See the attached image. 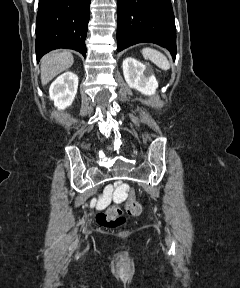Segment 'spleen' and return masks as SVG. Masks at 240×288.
Masks as SVG:
<instances>
[{"label":"spleen","instance_id":"1","mask_svg":"<svg viewBox=\"0 0 240 288\" xmlns=\"http://www.w3.org/2000/svg\"><path fill=\"white\" fill-rule=\"evenodd\" d=\"M141 52L145 59L152 61L160 69L165 71L170 69V63L167 57L160 51L152 48H144Z\"/></svg>","mask_w":240,"mask_h":288}]
</instances>
